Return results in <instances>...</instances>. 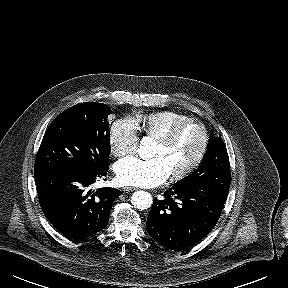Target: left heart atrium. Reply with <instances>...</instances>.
<instances>
[{
	"mask_svg": "<svg viewBox=\"0 0 288 288\" xmlns=\"http://www.w3.org/2000/svg\"><path fill=\"white\" fill-rule=\"evenodd\" d=\"M117 180L125 186L155 187L165 182L170 171L161 157H126L115 165Z\"/></svg>",
	"mask_w": 288,
	"mask_h": 288,
	"instance_id": "left-heart-atrium-1",
	"label": "left heart atrium"
}]
</instances>
